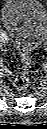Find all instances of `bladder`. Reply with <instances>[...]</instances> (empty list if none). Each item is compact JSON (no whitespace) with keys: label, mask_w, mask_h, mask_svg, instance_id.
I'll list each match as a JSON object with an SVG mask.
<instances>
[{"label":"bladder","mask_w":47,"mask_h":129,"mask_svg":"<svg viewBox=\"0 0 47 129\" xmlns=\"http://www.w3.org/2000/svg\"><path fill=\"white\" fill-rule=\"evenodd\" d=\"M1 21L16 49L27 54L47 36V13L39 0H6Z\"/></svg>","instance_id":"1"}]
</instances>
